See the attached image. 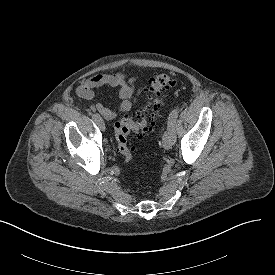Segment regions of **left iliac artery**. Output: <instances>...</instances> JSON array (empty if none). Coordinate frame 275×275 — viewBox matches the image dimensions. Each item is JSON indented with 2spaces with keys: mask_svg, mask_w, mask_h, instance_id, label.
Returning <instances> with one entry per match:
<instances>
[{
  "mask_svg": "<svg viewBox=\"0 0 275 275\" xmlns=\"http://www.w3.org/2000/svg\"><path fill=\"white\" fill-rule=\"evenodd\" d=\"M177 118H178V110L174 109L168 117V125L175 128V122ZM175 140H176V136H175Z\"/></svg>",
  "mask_w": 275,
  "mask_h": 275,
  "instance_id": "obj_1",
  "label": "left iliac artery"
}]
</instances>
